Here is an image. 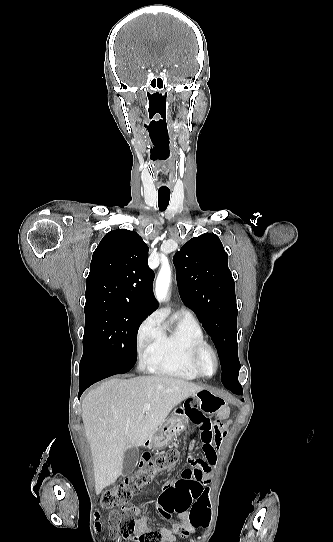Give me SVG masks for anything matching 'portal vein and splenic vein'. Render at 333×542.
I'll list each match as a JSON object with an SVG mask.
<instances>
[{"instance_id": "1", "label": "portal vein and splenic vein", "mask_w": 333, "mask_h": 542, "mask_svg": "<svg viewBox=\"0 0 333 542\" xmlns=\"http://www.w3.org/2000/svg\"><path fill=\"white\" fill-rule=\"evenodd\" d=\"M144 410L146 412V410H149V404H144Z\"/></svg>"}]
</instances>
